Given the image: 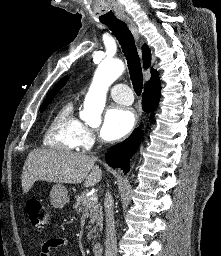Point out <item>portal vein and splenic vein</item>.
Here are the masks:
<instances>
[{
	"label": "portal vein and splenic vein",
	"mask_w": 221,
	"mask_h": 256,
	"mask_svg": "<svg viewBox=\"0 0 221 256\" xmlns=\"http://www.w3.org/2000/svg\"><path fill=\"white\" fill-rule=\"evenodd\" d=\"M90 201H93V202H97L98 201V197L96 194L92 195L90 198H89Z\"/></svg>",
	"instance_id": "18ae733b"
}]
</instances>
